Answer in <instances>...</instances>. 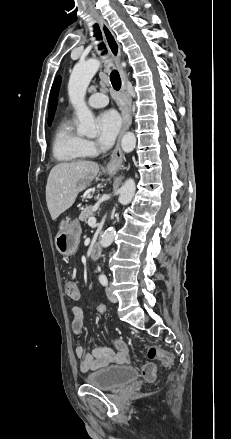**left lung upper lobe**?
Segmentation results:
<instances>
[{
    "label": "left lung upper lobe",
    "instance_id": "obj_1",
    "mask_svg": "<svg viewBox=\"0 0 231 439\" xmlns=\"http://www.w3.org/2000/svg\"><path fill=\"white\" fill-rule=\"evenodd\" d=\"M60 77H57L55 82L53 83L51 92H50V101H49V113H48V123L49 125L51 124L53 117H54V113H55V109L57 106V94H58V89H59V85H60Z\"/></svg>",
    "mask_w": 231,
    "mask_h": 439
}]
</instances>
